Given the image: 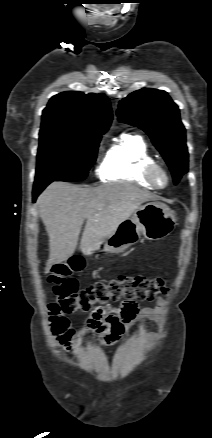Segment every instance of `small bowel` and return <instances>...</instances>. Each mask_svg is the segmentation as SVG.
Instances as JSON below:
<instances>
[{"mask_svg": "<svg viewBox=\"0 0 212 438\" xmlns=\"http://www.w3.org/2000/svg\"><path fill=\"white\" fill-rule=\"evenodd\" d=\"M158 306L139 310L134 301L125 300L118 307H102L94 310L83 330V333L90 330L97 334L100 341L111 346L120 341L128 327L137 320L150 319L162 324L160 312L164 306L162 298L157 299ZM57 340L68 350H73V331L67 330L63 334H56Z\"/></svg>", "mask_w": 212, "mask_h": 438, "instance_id": "c3829d8e", "label": "small bowel"}]
</instances>
